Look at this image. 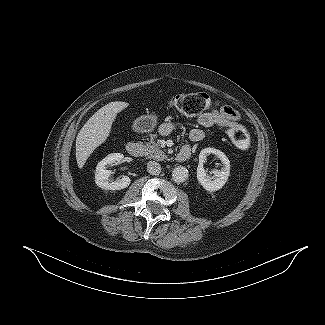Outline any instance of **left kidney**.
Instances as JSON below:
<instances>
[{
	"mask_svg": "<svg viewBox=\"0 0 325 325\" xmlns=\"http://www.w3.org/2000/svg\"><path fill=\"white\" fill-rule=\"evenodd\" d=\"M216 155L222 162L221 170H214V176H209L203 167L207 156ZM230 174V161L227 156L220 150L215 148H205L199 154V164L197 167V179L203 188L209 192L220 190L228 180Z\"/></svg>",
	"mask_w": 325,
	"mask_h": 325,
	"instance_id": "1",
	"label": "left kidney"
}]
</instances>
